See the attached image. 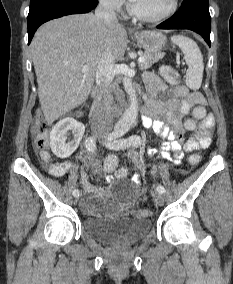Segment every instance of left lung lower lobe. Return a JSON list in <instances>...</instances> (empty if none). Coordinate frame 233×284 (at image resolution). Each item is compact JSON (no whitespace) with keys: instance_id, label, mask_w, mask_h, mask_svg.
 I'll use <instances>...</instances> for the list:
<instances>
[{"instance_id":"1","label":"left lung lower lobe","mask_w":233,"mask_h":284,"mask_svg":"<svg viewBox=\"0 0 233 284\" xmlns=\"http://www.w3.org/2000/svg\"><path fill=\"white\" fill-rule=\"evenodd\" d=\"M156 28L189 29L199 33L210 46L211 17L208 0H183L178 12Z\"/></svg>"}]
</instances>
